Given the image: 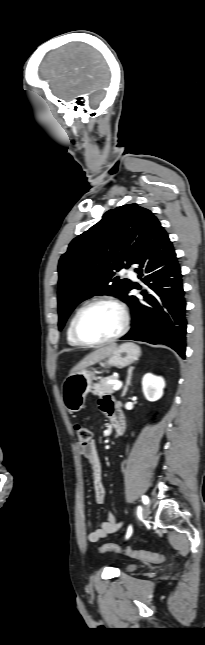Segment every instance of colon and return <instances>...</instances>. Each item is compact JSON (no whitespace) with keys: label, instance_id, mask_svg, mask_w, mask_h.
<instances>
[{"label":"colon","instance_id":"5ec220e1","mask_svg":"<svg viewBox=\"0 0 205 645\" xmlns=\"http://www.w3.org/2000/svg\"><path fill=\"white\" fill-rule=\"evenodd\" d=\"M74 430L77 435L78 441L81 445L86 446L90 443L91 431L87 426L81 423H76L74 425ZM99 552L100 553H106V552L121 553L133 558L141 559L152 563H160L164 560V556L162 554L150 552L146 550H132L130 548L123 549L120 546L113 543H107L102 545L99 548Z\"/></svg>","mask_w":205,"mask_h":645}]
</instances>
